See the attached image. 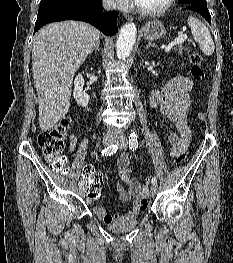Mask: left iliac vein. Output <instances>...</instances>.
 I'll use <instances>...</instances> for the list:
<instances>
[{"label":"left iliac vein","mask_w":233,"mask_h":263,"mask_svg":"<svg viewBox=\"0 0 233 263\" xmlns=\"http://www.w3.org/2000/svg\"><path fill=\"white\" fill-rule=\"evenodd\" d=\"M116 143L119 144L120 147H122V148L127 147V140L123 136L117 138ZM156 194H157V186L152 185L151 190H150V195H151V197H154Z\"/></svg>","instance_id":"1"}]
</instances>
